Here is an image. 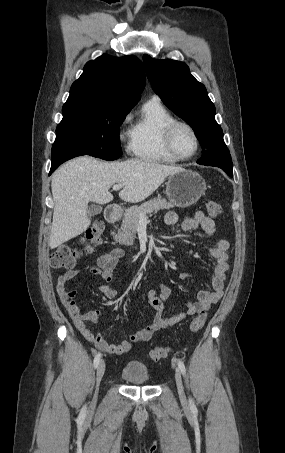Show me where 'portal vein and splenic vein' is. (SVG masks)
<instances>
[{
    "instance_id": "1",
    "label": "portal vein and splenic vein",
    "mask_w": 285,
    "mask_h": 453,
    "mask_svg": "<svg viewBox=\"0 0 285 453\" xmlns=\"http://www.w3.org/2000/svg\"><path fill=\"white\" fill-rule=\"evenodd\" d=\"M123 187L122 184H114L113 185V190H120ZM141 218H146L144 215H141Z\"/></svg>"
}]
</instances>
